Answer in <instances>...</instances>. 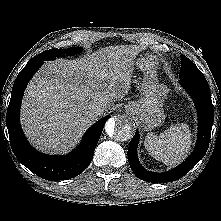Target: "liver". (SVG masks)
<instances>
[{
	"label": "liver",
	"mask_w": 221,
	"mask_h": 221,
	"mask_svg": "<svg viewBox=\"0 0 221 221\" xmlns=\"http://www.w3.org/2000/svg\"><path fill=\"white\" fill-rule=\"evenodd\" d=\"M137 45L101 48L79 60L47 62L29 83L21 123L29 142L42 152L64 154L103 113L129 91ZM101 106L95 116L92 109Z\"/></svg>",
	"instance_id": "1"
}]
</instances>
